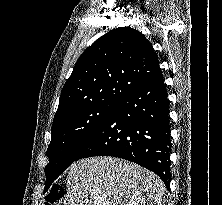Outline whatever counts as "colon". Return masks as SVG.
Instances as JSON below:
<instances>
[{"label":"colon","instance_id":"5ec220e1","mask_svg":"<svg viewBox=\"0 0 222 205\" xmlns=\"http://www.w3.org/2000/svg\"><path fill=\"white\" fill-rule=\"evenodd\" d=\"M65 190L61 185H55L47 195L45 205H62Z\"/></svg>","mask_w":222,"mask_h":205}]
</instances>
